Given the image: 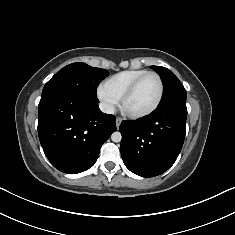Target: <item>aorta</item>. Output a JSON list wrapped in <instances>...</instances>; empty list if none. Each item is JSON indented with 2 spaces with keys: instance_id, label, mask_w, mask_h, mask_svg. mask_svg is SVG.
<instances>
[{
  "instance_id": "1",
  "label": "aorta",
  "mask_w": 235,
  "mask_h": 235,
  "mask_svg": "<svg viewBox=\"0 0 235 235\" xmlns=\"http://www.w3.org/2000/svg\"><path fill=\"white\" fill-rule=\"evenodd\" d=\"M111 139H112L113 142H120L121 139H122V135H121L120 132L116 131V132L112 133Z\"/></svg>"
}]
</instances>
